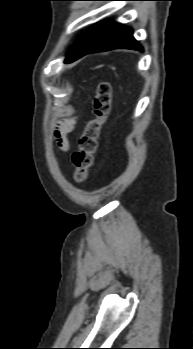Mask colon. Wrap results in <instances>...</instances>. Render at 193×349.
Returning a JSON list of instances; mask_svg holds the SVG:
<instances>
[{
  "label": "colon",
  "instance_id": "5ec220e1",
  "mask_svg": "<svg viewBox=\"0 0 193 349\" xmlns=\"http://www.w3.org/2000/svg\"><path fill=\"white\" fill-rule=\"evenodd\" d=\"M112 107V87L109 82L98 84L93 100V118L87 123L78 148L72 155L74 180L84 182L92 166L102 125L107 120Z\"/></svg>",
  "mask_w": 193,
  "mask_h": 349
}]
</instances>
